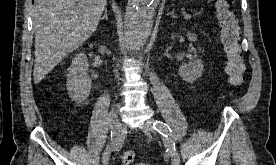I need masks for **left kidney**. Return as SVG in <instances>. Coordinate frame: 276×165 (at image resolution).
I'll return each mask as SVG.
<instances>
[{
  "mask_svg": "<svg viewBox=\"0 0 276 165\" xmlns=\"http://www.w3.org/2000/svg\"><path fill=\"white\" fill-rule=\"evenodd\" d=\"M189 41H197V35L195 33L187 34ZM172 38L174 36L172 35ZM204 72V65L201 59L192 60L187 63L182 64L179 67V75L181 78L188 82L193 83L196 79L200 78Z\"/></svg>",
  "mask_w": 276,
  "mask_h": 165,
  "instance_id": "obj_1",
  "label": "left kidney"
}]
</instances>
